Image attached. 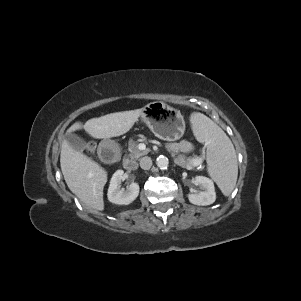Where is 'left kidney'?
<instances>
[{"label":"left kidney","instance_id":"left-kidney-1","mask_svg":"<svg viewBox=\"0 0 301 301\" xmlns=\"http://www.w3.org/2000/svg\"><path fill=\"white\" fill-rule=\"evenodd\" d=\"M194 184L199 185L203 191L190 193L187 195L192 204L206 206L215 202V187L211 179L204 176H196L194 179Z\"/></svg>","mask_w":301,"mask_h":301}]
</instances>
